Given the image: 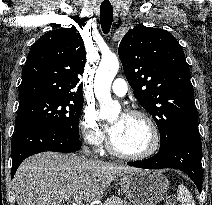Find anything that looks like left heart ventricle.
<instances>
[{"label":"left heart ventricle","mask_w":212,"mask_h":205,"mask_svg":"<svg viewBox=\"0 0 212 205\" xmlns=\"http://www.w3.org/2000/svg\"><path fill=\"white\" fill-rule=\"evenodd\" d=\"M111 124L115 125L111 139L118 150L125 153H139L149 145V129L142 119L116 115L111 119Z\"/></svg>","instance_id":"1"}]
</instances>
